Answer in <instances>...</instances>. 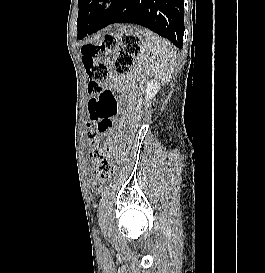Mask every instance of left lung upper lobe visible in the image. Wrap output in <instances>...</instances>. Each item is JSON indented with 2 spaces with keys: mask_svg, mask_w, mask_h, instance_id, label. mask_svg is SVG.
<instances>
[{
  "mask_svg": "<svg viewBox=\"0 0 265 273\" xmlns=\"http://www.w3.org/2000/svg\"><path fill=\"white\" fill-rule=\"evenodd\" d=\"M106 1V0H78V7H79V13H78V19H77V30L79 31L80 26L82 24L83 18L91 12L94 8L98 7L100 5V2ZM116 2H119V0H116Z\"/></svg>",
  "mask_w": 265,
  "mask_h": 273,
  "instance_id": "1",
  "label": "left lung upper lobe"
}]
</instances>
